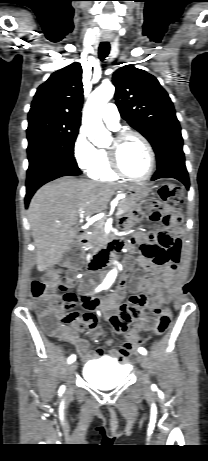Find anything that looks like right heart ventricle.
I'll return each mask as SVG.
<instances>
[{
	"instance_id": "e07e8e85",
	"label": "right heart ventricle",
	"mask_w": 208,
	"mask_h": 461,
	"mask_svg": "<svg viewBox=\"0 0 208 461\" xmlns=\"http://www.w3.org/2000/svg\"><path fill=\"white\" fill-rule=\"evenodd\" d=\"M87 174L90 178L101 181H114L118 179L110 167L108 155L105 150L98 149L93 164L88 168Z\"/></svg>"
}]
</instances>
